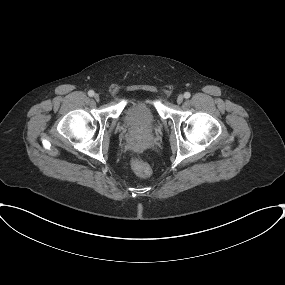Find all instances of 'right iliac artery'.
<instances>
[{
  "instance_id": "right-iliac-artery-1",
  "label": "right iliac artery",
  "mask_w": 285,
  "mask_h": 285,
  "mask_svg": "<svg viewBox=\"0 0 285 285\" xmlns=\"http://www.w3.org/2000/svg\"><path fill=\"white\" fill-rule=\"evenodd\" d=\"M94 91L93 90H90V91H88V95L90 96V97H92V96H94Z\"/></svg>"
}]
</instances>
